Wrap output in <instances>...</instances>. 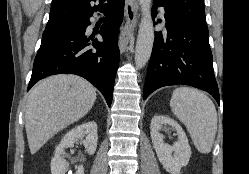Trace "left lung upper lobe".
Masks as SVG:
<instances>
[{
  "instance_id": "1",
  "label": "left lung upper lobe",
  "mask_w": 249,
  "mask_h": 174,
  "mask_svg": "<svg viewBox=\"0 0 249 174\" xmlns=\"http://www.w3.org/2000/svg\"><path fill=\"white\" fill-rule=\"evenodd\" d=\"M163 2L166 7L177 15L198 24L206 25L203 0H154Z\"/></svg>"
}]
</instances>
